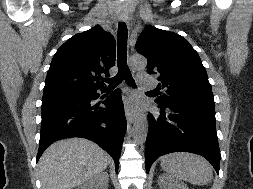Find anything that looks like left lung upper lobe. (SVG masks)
<instances>
[{
	"label": "left lung upper lobe",
	"instance_id": "obj_1",
	"mask_svg": "<svg viewBox=\"0 0 253 189\" xmlns=\"http://www.w3.org/2000/svg\"><path fill=\"white\" fill-rule=\"evenodd\" d=\"M136 50L147 58L148 73L159 74L158 86L166 89L159 93L157 103L186 104L215 112L206 69L186 39L149 25L139 35Z\"/></svg>",
	"mask_w": 253,
	"mask_h": 189
}]
</instances>
